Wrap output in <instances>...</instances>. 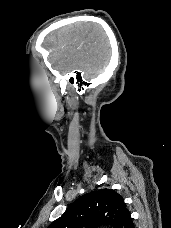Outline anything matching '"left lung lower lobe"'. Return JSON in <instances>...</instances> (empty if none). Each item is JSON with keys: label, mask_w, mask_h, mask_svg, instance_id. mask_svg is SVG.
I'll use <instances>...</instances> for the list:
<instances>
[{"label": "left lung lower lobe", "mask_w": 171, "mask_h": 228, "mask_svg": "<svg viewBox=\"0 0 171 228\" xmlns=\"http://www.w3.org/2000/svg\"><path fill=\"white\" fill-rule=\"evenodd\" d=\"M125 228H135L133 221H132V218L127 222Z\"/></svg>", "instance_id": "1"}]
</instances>
